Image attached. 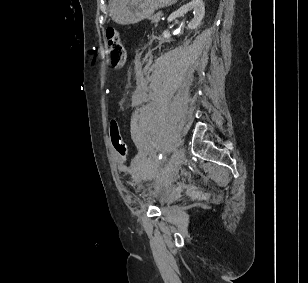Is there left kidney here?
<instances>
[{
    "mask_svg": "<svg viewBox=\"0 0 308 283\" xmlns=\"http://www.w3.org/2000/svg\"><path fill=\"white\" fill-rule=\"evenodd\" d=\"M194 11V18L189 22L188 28L189 29H196L199 24L201 23L204 14H205V7L202 0H192L191 2L187 3L180 7L177 11L173 12L168 17V22L175 20L176 18L183 16L188 11ZM171 37L170 33L167 31L163 32V38L169 39Z\"/></svg>",
    "mask_w": 308,
    "mask_h": 283,
    "instance_id": "left-kidney-1",
    "label": "left kidney"
}]
</instances>
